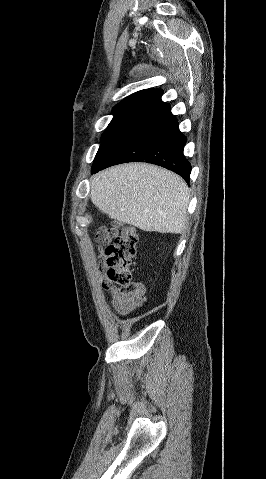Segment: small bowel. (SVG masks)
Wrapping results in <instances>:
<instances>
[{
  "instance_id": "1",
  "label": "small bowel",
  "mask_w": 266,
  "mask_h": 479,
  "mask_svg": "<svg viewBox=\"0 0 266 479\" xmlns=\"http://www.w3.org/2000/svg\"><path fill=\"white\" fill-rule=\"evenodd\" d=\"M103 284L109 290L111 305L118 314L129 315L141 308L145 294L143 283L134 282L129 289L122 291L115 290L106 279L103 280Z\"/></svg>"
}]
</instances>
